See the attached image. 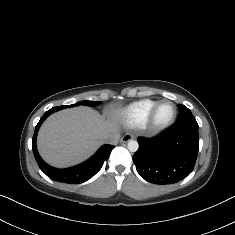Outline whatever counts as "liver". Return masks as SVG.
Here are the masks:
<instances>
[{
  "label": "liver",
  "mask_w": 235,
  "mask_h": 235,
  "mask_svg": "<svg viewBox=\"0 0 235 235\" xmlns=\"http://www.w3.org/2000/svg\"><path fill=\"white\" fill-rule=\"evenodd\" d=\"M120 115L112 110L105 119L90 107L64 109L50 115L37 137L39 154L46 163L66 168L88 159L104 143L103 136L119 130Z\"/></svg>",
  "instance_id": "obj_1"
}]
</instances>
